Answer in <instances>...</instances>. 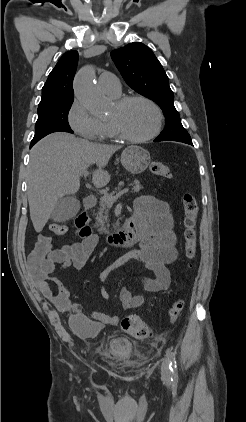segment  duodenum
Listing matches in <instances>:
<instances>
[{"label":"duodenum","instance_id":"1","mask_svg":"<svg viewBox=\"0 0 246 422\" xmlns=\"http://www.w3.org/2000/svg\"><path fill=\"white\" fill-rule=\"evenodd\" d=\"M85 211L76 218V227L80 236L86 238L92 235V230L88 224V210L96 205V199L93 196H86L83 201ZM142 231L138 220L135 217L127 220L123 226L110 233L106 237L108 245L114 248H127L133 246L141 238Z\"/></svg>","mask_w":246,"mask_h":422}]
</instances>
